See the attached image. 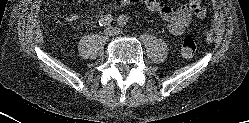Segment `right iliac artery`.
I'll list each match as a JSON object with an SVG mask.
<instances>
[{"label":"right iliac artery","instance_id":"1","mask_svg":"<svg viewBox=\"0 0 249 123\" xmlns=\"http://www.w3.org/2000/svg\"><path fill=\"white\" fill-rule=\"evenodd\" d=\"M112 20H113V18H112V16L110 14L104 15V16H102L100 18L99 25L102 26V27L103 26H108V25H110V23L112 22Z\"/></svg>","mask_w":249,"mask_h":123}]
</instances>
